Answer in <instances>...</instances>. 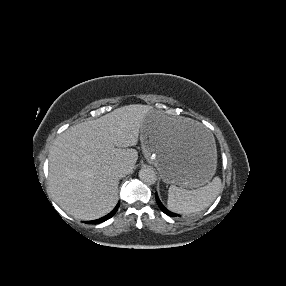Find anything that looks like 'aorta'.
<instances>
[{
  "mask_svg": "<svg viewBox=\"0 0 286 286\" xmlns=\"http://www.w3.org/2000/svg\"><path fill=\"white\" fill-rule=\"evenodd\" d=\"M139 178L143 183L148 185L155 184L157 180L155 171L148 167L141 168L139 171Z\"/></svg>",
  "mask_w": 286,
  "mask_h": 286,
  "instance_id": "obj_1",
  "label": "aorta"
}]
</instances>
